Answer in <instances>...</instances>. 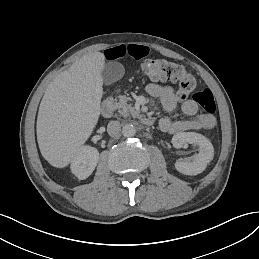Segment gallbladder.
<instances>
[{
	"label": "gallbladder",
	"instance_id": "obj_1",
	"mask_svg": "<svg viewBox=\"0 0 259 259\" xmlns=\"http://www.w3.org/2000/svg\"><path fill=\"white\" fill-rule=\"evenodd\" d=\"M124 66L119 62H108L104 65L103 70L99 74L102 85L110 86L119 81L124 76Z\"/></svg>",
	"mask_w": 259,
	"mask_h": 259
}]
</instances>
